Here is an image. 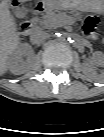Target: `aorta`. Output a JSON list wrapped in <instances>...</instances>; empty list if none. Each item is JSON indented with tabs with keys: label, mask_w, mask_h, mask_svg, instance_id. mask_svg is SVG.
<instances>
[{
	"label": "aorta",
	"mask_w": 104,
	"mask_h": 137,
	"mask_svg": "<svg viewBox=\"0 0 104 137\" xmlns=\"http://www.w3.org/2000/svg\"><path fill=\"white\" fill-rule=\"evenodd\" d=\"M59 42L61 44H66L68 42H72L71 37H69L67 34H62L59 38H58Z\"/></svg>",
	"instance_id": "1"
}]
</instances>
